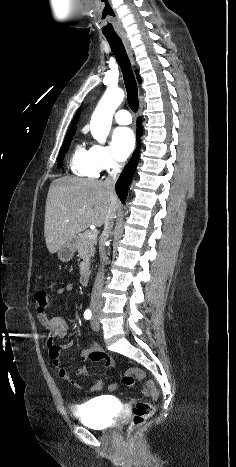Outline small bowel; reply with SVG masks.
Instances as JSON below:
<instances>
[{
    "instance_id": "c3829d8e",
    "label": "small bowel",
    "mask_w": 236,
    "mask_h": 467,
    "mask_svg": "<svg viewBox=\"0 0 236 467\" xmlns=\"http://www.w3.org/2000/svg\"><path fill=\"white\" fill-rule=\"evenodd\" d=\"M72 290H73V284L68 283L65 286L57 290V295L63 296L66 293L71 292ZM38 317H39L40 323L44 326V328L48 332L47 337H46V343H47L51 362L53 366L56 368L57 375L61 379L69 381L74 387L81 389L83 387L82 384L76 380H73L68 370L61 366V361H60L61 351L70 349L73 345V342L68 341L61 346H57L54 343L56 339H63L64 337H66L69 331L68 322L66 321L64 317H61V316L49 317L46 313H43V312L39 313ZM94 352H102V350L97 345L91 347L90 349L84 351L81 354L80 356L81 361L84 363L103 362L109 370L111 371L116 370V363L111 357H109L104 352H102L105 354V358L103 360H94L91 358V355ZM86 373H87L86 366H82L77 370V374L79 376H84L86 375ZM117 388H118L117 382H112L108 386L109 391H115ZM102 389H103V382L98 380L93 385L90 386L89 391L98 392V391H101Z\"/></svg>"
}]
</instances>
